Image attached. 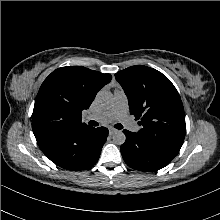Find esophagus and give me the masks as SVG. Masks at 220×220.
<instances>
[{"instance_id":"34e87169","label":"esophagus","mask_w":220,"mask_h":220,"mask_svg":"<svg viewBox=\"0 0 220 220\" xmlns=\"http://www.w3.org/2000/svg\"><path fill=\"white\" fill-rule=\"evenodd\" d=\"M115 132H117L116 129H114V128H109V134H110V135L114 134Z\"/></svg>"}]
</instances>
